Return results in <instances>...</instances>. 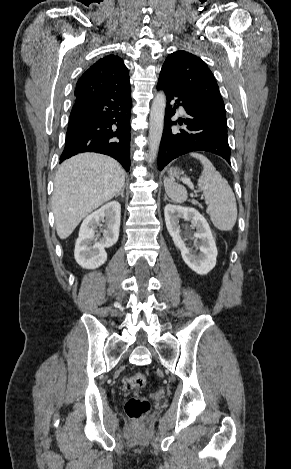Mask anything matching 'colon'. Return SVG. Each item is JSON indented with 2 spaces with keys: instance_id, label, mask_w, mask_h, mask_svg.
I'll list each match as a JSON object with an SVG mask.
<instances>
[{
  "instance_id": "colon-1",
  "label": "colon",
  "mask_w": 291,
  "mask_h": 469,
  "mask_svg": "<svg viewBox=\"0 0 291 469\" xmlns=\"http://www.w3.org/2000/svg\"><path fill=\"white\" fill-rule=\"evenodd\" d=\"M146 383V376L143 373L137 372L125 377L123 386L127 391H136L143 388ZM149 409V402L138 396L130 397L125 404V410L128 416L136 420L143 418L148 413Z\"/></svg>"
}]
</instances>
